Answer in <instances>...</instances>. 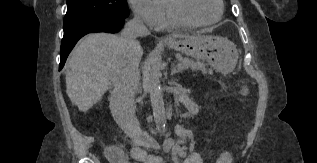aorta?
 Instances as JSON below:
<instances>
[{
	"mask_svg": "<svg viewBox=\"0 0 317 163\" xmlns=\"http://www.w3.org/2000/svg\"><path fill=\"white\" fill-rule=\"evenodd\" d=\"M144 76L150 94L155 123L157 126H163L166 123V114L160 84L161 71L157 60L152 56L145 63Z\"/></svg>",
	"mask_w": 317,
	"mask_h": 163,
	"instance_id": "1",
	"label": "aorta"
}]
</instances>
